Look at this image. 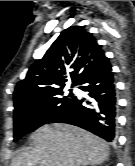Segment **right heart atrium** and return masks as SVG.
<instances>
[{"instance_id": "d8ad5b80", "label": "right heart atrium", "mask_w": 135, "mask_h": 166, "mask_svg": "<svg viewBox=\"0 0 135 166\" xmlns=\"http://www.w3.org/2000/svg\"><path fill=\"white\" fill-rule=\"evenodd\" d=\"M48 117V114L46 112L41 113L40 118L42 120L46 119Z\"/></svg>"}]
</instances>
